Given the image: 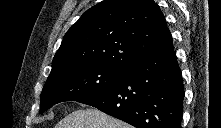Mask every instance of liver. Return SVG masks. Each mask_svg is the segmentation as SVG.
Returning a JSON list of instances; mask_svg holds the SVG:
<instances>
[{"mask_svg":"<svg viewBox=\"0 0 221 128\" xmlns=\"http://www.w3.org/2000/svg\"><path fill=\"white\" fill-rule=\"evenodd\" d=\"M55 128H132L96 108L79 109L65 116Z\"/></svg>","mask_w":221,"mask_h":128,"instance_id":"6515ba94","label":"liver"}]
</instances>
